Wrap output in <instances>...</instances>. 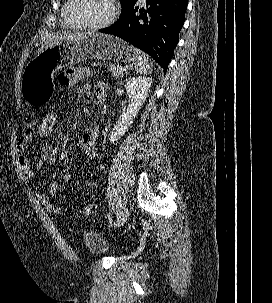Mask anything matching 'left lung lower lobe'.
Returning a JSON list of instances; mask_svg holds the SVG:
<instances>
[{"label": "left lung lower lobe", "mask_w": 272, "mask_h": 303, "mask_svg": "<svg viewBox=\"0 0 272 303\" xmlns=\"http://www.w3.org/2000/svg\"><path fill=\"white\" fill-rule=\"evenodd\" d=\"M135 4L115 24L99 31L142 49L166 71L185 21L187 0H146V9Z\"/></svg>", "instance_id": "obj_1"}]
</instances>
